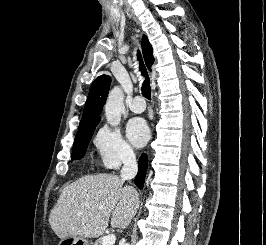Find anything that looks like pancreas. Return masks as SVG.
Segmentation results:
<instances>
[{
	"label": "pancreas",
	"mask_w": 266,
	"mask_h": 245,
	"mask_svg": "<svg viewBox=\"0 0 266 245\" xmlns=\"http://www.w3.org/2000/svg\"><path fill=\"white\" fill-rule=\"evenodd\" d=\"M101 241L102 239H97L96 243H94V245H101Z\"/></svg>",
	"instance_id": "cf45deb5"
}]
</instances>
